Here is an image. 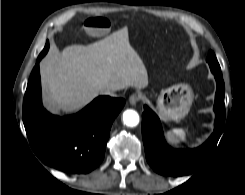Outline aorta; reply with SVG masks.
Masks as SVG:
<instances>
[{"instance_id":"obj_1","label":"aorta","mask_w":245,"mask_h":195,"mask_svg":"<svg viewBox=\"0 0 245 195\" xmlns=\"http://www.w3.org/2000/svg\"><path fill=\"white\" fill-rule=\"evenodd\" d=\"M124 124L129 127H135L139 123V115L135 110L128 109L123 113Z\"/></svg>"}]
</instances>
